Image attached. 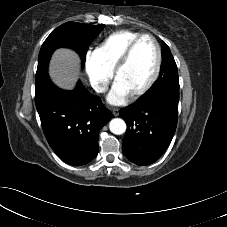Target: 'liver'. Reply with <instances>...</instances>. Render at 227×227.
<instances>
[{"label": "liver", "instance_id": "obj_1", "mask_svg": "<svg viewBox=\"0 0 227 227\" xmlns=\"http://www.w3.org/2000/svg\"><path fill=\"white\" fill-rule=\"evenodd\" d=\"M80 60L70 49H58L52 56L49 75L61 88L72 89L79 77Z\"/></svg>", "mask_w": 227, "mask_h": 227}]
</instances>
